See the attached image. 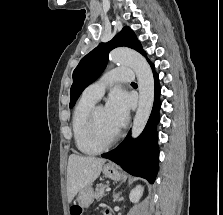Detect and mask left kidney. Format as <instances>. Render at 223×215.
Listing matches in <instances>:
<instances>
[{
  "instance_id": "1",
  "label": "left kidney",
  "mask_w": 223,
  "mask_h": 215,
  "mask_svg": "<svg viewBox=\"0 0 223 215\" xmlns=\"http://www.w3.org/2000/svg\"><path fill=\"white\" fill-rule=\"evenodd\" d=\"M143 193V187L142 185H136L134 189H131L130 191V201H133V203H136V201H139L141 195Z\"/></svg>"
}]
</instances>
